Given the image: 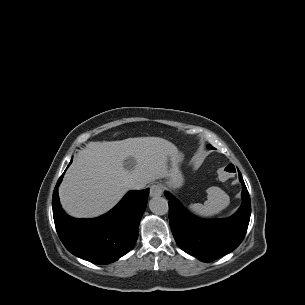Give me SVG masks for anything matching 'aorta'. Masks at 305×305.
Instances as JSON below:
<instances>
[{"instance_id":"762f6f07","label":"aorta","mask_w":305,"mask_h":305,"mask_svg":"<svg viewBox=\"0 0 305 305\" xmlns=\"http://www.w3.org/2000/svg\"><path fill=\"white\" fill-rule=\"evenodd\" d=\"M149 208L156 215H165L169 209L167 200L159 196L149 201Z\"/></svg>"}]
</instances>
